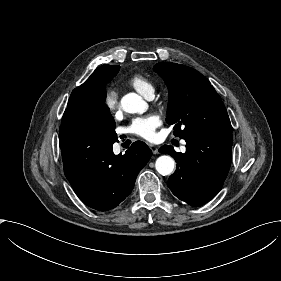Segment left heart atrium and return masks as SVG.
Segmentation results:
<instances>
[{"label": "left heart atrium", "mask_w": 281, "mask_h": 281, "mask_svg": "<svg viewBox=\"0 0 281 281\" xmlns=\"http://www.w3.org/2000/svg\"><path fill=\"white\" fill-rule=\"evenodd\" d=\"M161 124V117L158 114L150 113L146 116L135 118L128 126V130L138 137L153 141L158 137L156 129L160 127Z\"/></svg>", "instance_id": "obj_1"}]
</instances>
